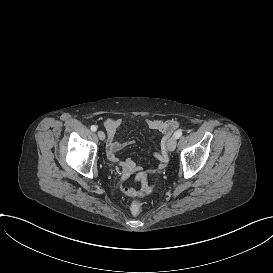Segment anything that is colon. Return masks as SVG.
<instances>
[{"mask_svg": "<svg viewBox=\"0 0 273 273\" xmlns=\"http://www.w3.org/2000/svg\"><path fill=\"white\" fill-rule=\"evenodd\" d=\"M144 189H139L138 192L142 193ZM145 204V201L143 199L137 200L136 202L129 205L128 210L130 213L137 215L141 211V206Z\"/></svg>", "mask_w": 273, "mask_h": 273, "instance_id": "obj_1", "label": "colon"}]
</instances>
